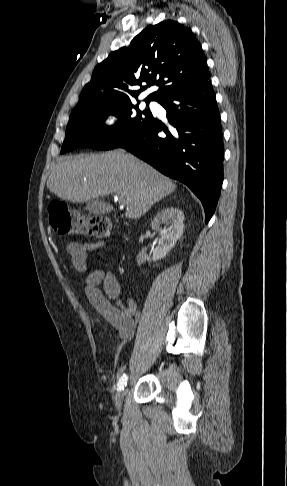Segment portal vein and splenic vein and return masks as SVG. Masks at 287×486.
I'll list each match as a JSON object with an SVG mask.
<instances>
[{"mask_svg": "<svg viewBox=\"0 0 287 486\" xmlns=\"http://www.w3.org/2000/svg\"><path fill=\"white\" fill-rule=\"evenodd\" d=\"M119 201V203H121L122 205H126L127 204V201L125 199H117Z\"/></svg>", "mask_w": 287, "mask_h": 486, "instance_id": "18ae733b", "label": "portal vein and splenic vein"}]
</instances>
